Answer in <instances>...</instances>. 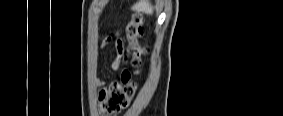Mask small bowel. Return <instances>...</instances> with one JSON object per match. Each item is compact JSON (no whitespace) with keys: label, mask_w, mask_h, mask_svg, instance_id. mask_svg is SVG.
<instances>
[{"label":"small bowel","mask_w":283,"mask_h":116,"mask_svg":"<svg viewBox=\"0 0 283 116\" xmlns=\"http://www.w3.org/2000/svg\"><path fill=\"white\" fill-rule=\"evenodd\" d=\"M111 42H112V38L110 36L105 37L102 40L101 48L102 49L108 48L110 46ZM102 58H103V55H100V60ZM123 59H124V50H123V47H122V43L119 40H117L116 41V55L113 58V60L111 61V69L113 71L119 70L121 63L123 62ZM124 74H128V72L124 71L123 75Z\"/></svg>","instance_id":"small-bowel-1"}]
</instances>
